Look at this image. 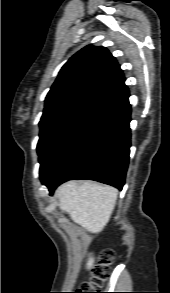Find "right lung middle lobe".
<instances>
[{
	"mask_svg": "<svg viewBox=\"0 0 170 293\" xmlns=\"http://www.w3.org/2000/svg\"><path fill=\"white\" fill-rule=\"evenodd\" d=\"M108 111L106 107L78 105L40 121L37 152L41 181L50 178L58 170Z\"/></svg>",
	"mask_w": 170,
	"mask_h": 293,
	"instance_id": "right-lung-middle-lobe-1",
	"label": "right lung middle lobe"
}]
</instances>
